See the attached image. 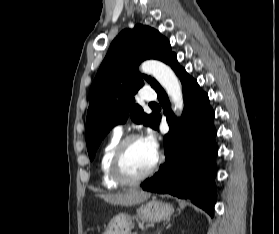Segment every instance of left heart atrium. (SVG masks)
I'll use <instances>...</instances> for the list:
<instances>
[{
	"instance_id": "39dd6f15",
	"label": "left heart atrium",
	"mask_w": 279,
	"mask_h": 234,
	"mask_svg": "<svg viewBox=\"0 0 279 234\" xmlns=\"http://www.w3.org/2000/svg\"><path fill=\"white\" fill-rule=\"evenodd\" d=\"M143 140L146 142V144L154 151L158 152V142L156 139V136L151 130L147 131L146 136L143 138Z\"/></svg>"
}]
</instances>
